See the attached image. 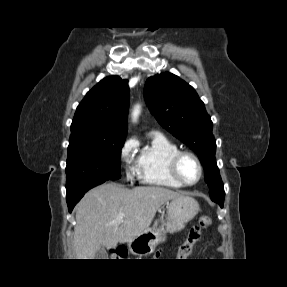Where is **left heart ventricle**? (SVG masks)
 Masks as SVG:
<instances>
[{"label":"left heart ventricle","instance_id":"obj_1","mask_svg":"<svg viewBox=\"0 0 287 287\" xmlns=\"http://www.w3.org/2000/svg\"><path fill=\"white\" fill-rule=\"evenodd\" d=\"M179 171L182 179L187 183H193L199 176V169L195 161L190 157L181 160Z\"/></svg>","mask_w":287,"mask_h":287}]
</instances>
